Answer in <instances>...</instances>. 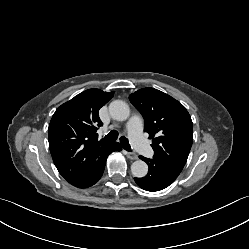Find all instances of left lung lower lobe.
Wrapping results in <instances>:
<instances>
[{
	"label": "left lung lower lobe",
	"mask_w": 249,
	"mask_h": 249,
	"mask_svg": "<svg viewBox=\"0 0 249 249\" xmlns=\"http://www.w3.org/2000/svg\"><path fill=\"white\" fill-rule=\"evenodd\" d=\"M149 166L148 174L143 178H135V182L144 190L159 191L168 187L180 172L158 164L154 159L139 157Z\"/></svg>",
	"instance_id": "0a47b994"
}]
</instances>
